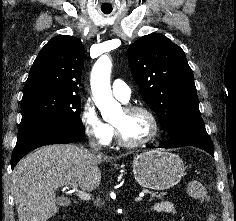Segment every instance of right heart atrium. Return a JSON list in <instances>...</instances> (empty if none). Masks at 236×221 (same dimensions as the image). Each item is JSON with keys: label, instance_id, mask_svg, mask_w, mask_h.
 I'll list each match as a JSON object with an SVG mask.
<instances>
[{"label": "right heart atrium", "instance_id": "obj_1", "mask_svg": "<svg viewBox=\"0 0 236 221\" xmlns=\"http://www.w3.org/2000/svg\"><path fill=\"white\" fill-rule=\"evenodd\" d=\"M80 120L90 140L102 146L111 143L114 136L113 127L101 118L92 100L83 103Z\"/></svg>", "mask_w": 236, "mask_h": 221}]
</instances>
